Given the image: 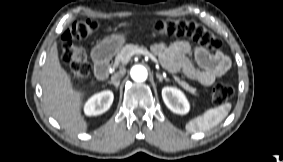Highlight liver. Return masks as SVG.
<instances>
[{"label":"liver","mask_w":283,"mask_h":162,"mask_svg":"<svg viewBox=\"0 0 283 162\" xmlns=\"http://www.w3.org/2000/svg\"><path fill=\"white\" fill-rule=\"evenodd\" d=\"M43 100L48 113L62 128L72 133L85 132L88 123L81 114L85 92L74 87L72 77L61 66L57 44H53L42 69ZM95 84L94 81L91 82Z\"/></svg>","instance_id":"6515ba94"}]
</instances>
